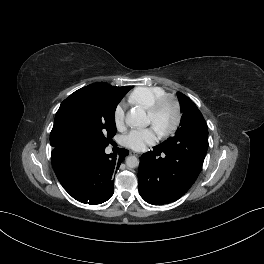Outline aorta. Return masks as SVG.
Segmentation results:
<instances>
[{
  "label": "aorta",
  "instance_id": "1",
  "mask_svg": "<svg viewBox=\"0 0 264 264\" xmlns=\"http://www.w3.org/2000/svg\"><path fill=\"white\" fill-rule=\"evenodd\" d=\"M126 123L132 127H146L149 122L144 110L132 109L126 116ZM126 165L129 168H136L139 165V160L135 156H128Z\"/></svg>",
  "mask_w": 264,
  "mask_h": 264
}]
</instances>
